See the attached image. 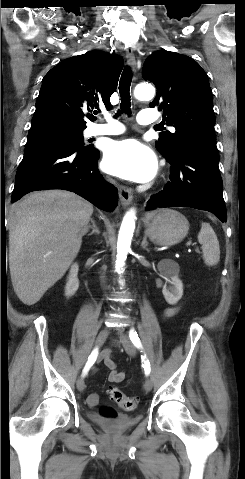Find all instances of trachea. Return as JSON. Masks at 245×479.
I'll list each match as a JSON object with an SVG mask.
<instances>
[{
	"label": "trachea",
	"mask_w": 245,
	"mask_h": 479,
	"mask_svg": "<svg viewBox=\"0 0 245 479\" xmlns=\"http://www.w3.org/2000/svg\"><path fill=\"white\" fill-rule=\"evenodd\" d=\"M132 80V71L129 67H126L121 75L119 82V94L121 98L120 111L121 113L131 115V102H130V86Z\"/></svg>",
	"instance_id": "trachea-1"
}]
</instances>
